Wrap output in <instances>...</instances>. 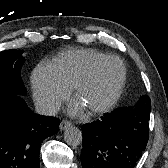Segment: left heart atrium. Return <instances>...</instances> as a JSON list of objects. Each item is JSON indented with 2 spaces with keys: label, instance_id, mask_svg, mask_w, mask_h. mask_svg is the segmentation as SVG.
I'll return each mask as SVG.
<instances>
[{
  "label": "left heart atrium",
  "instance_id": "obj_1",
  "mask_svg": "<svg viewBox=\"0 0 168 168\" xmlns=\"http://www.w3.org/2000/svg\"><path fill=\"white\" fill-rule=\"evenodd\" d=\"M83 109H84L83 105L79 101H77L70 108V113L71 114H79L83 111Z\"/></svg>",
  "mask_w": 168,
  "mask_h": 168
}]
</instances>
